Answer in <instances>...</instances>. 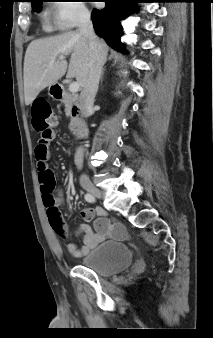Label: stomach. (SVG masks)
Segmentation results:
<instances>
[{
  "mask_svg": "<svg viewBox=\"0 0 213 338\" xmlns=\"http://www.w3.org/2000/svg\"><path fill=\"white\" fill-rule=\"evenodd\" d=\"M53 86H55V85L49 86V92H50V93H51V91H52ZM51 95H52V94H51Z\"/></svg>",
  "mask_w": 213,
  "mask_h": 338,
  "instance_id": "1",
  "label": "stomach"
}]
</instances>
